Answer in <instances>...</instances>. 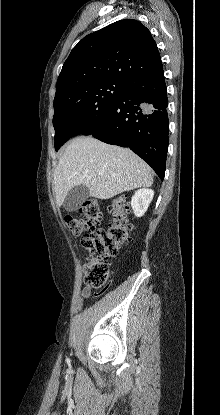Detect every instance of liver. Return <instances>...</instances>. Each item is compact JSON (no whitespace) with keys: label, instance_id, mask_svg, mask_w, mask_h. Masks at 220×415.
I'll return each instance as SVG.
<instances>
[{"label":"liver","instance_id":"liver-1","mask_svg":"<svg viewBox=\"0 0 220 415\" xmlns=\"http://www.w3.org/2000/svg\"><path fill=\"white\" fill-rule=\"evenodd\" d=\"M152 184L151 168L135 153L93 137L72 140L54 171L58 207L63 204L67 193L78 185L87 187L92 197L110 199L122 192Z\"/></svg>","mask_w":220,"mask_h":415}]
</instances>
